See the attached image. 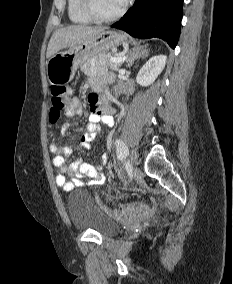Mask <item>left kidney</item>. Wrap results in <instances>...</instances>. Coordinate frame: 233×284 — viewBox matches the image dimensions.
Masks as SVG:
<instances>
[{
	"mask_svg": "<svg viewBox=\"0 0 233 284\" xmlns=\"http://www.w3.org/2000/svg\"><path fill=\"white\" fill-rule=\"evenodd\" d=\"M167 61V56L157 55L150 58L140 69L136 81L142 86H148L155 81L162 72Z\"/></svg>",
	"mask_w": 233,
	"mask_h": 284,
	"instance_id": "1",
	"label": "left kidney"
}]
</instances>
